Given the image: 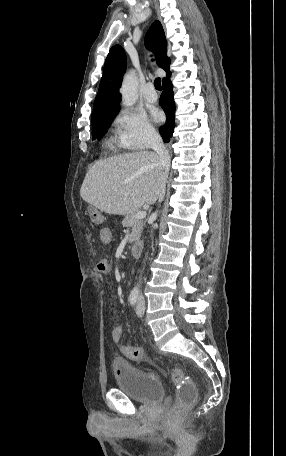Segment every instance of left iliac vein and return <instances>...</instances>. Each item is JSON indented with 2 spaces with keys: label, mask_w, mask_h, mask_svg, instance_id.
Masks as SVG:
<instances>
[{
  "label": "left iliac vein",
  "mask_w": 286,
  "mask_h": 456,
  "mask_svg": "<svg viewBox=\"0 0 286 456\" xmlns=\"http://www.w3.org/2000/svg\"><path fill=\"white\" fill-rule=\"evenodd\" d=\"M145 311V300L143 297H140L137 306H136V313L138 316H142Z\"/></svg>",
  "instance_id": "1"
}]
</instances>
